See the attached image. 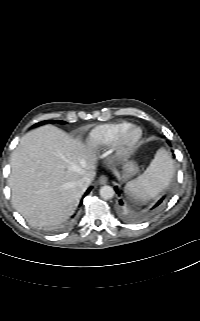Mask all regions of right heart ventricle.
Listing matches in <instances>:
<instances>
[{"label":"right heart ventricle","mask_w":200,"mask_h":321,"mask_svg":"<svg viewBox=\"0 0 200 321\" xmlns=\"http://www.w3.org/2000/svg\"><path fill=\"white\" fill-rule=\"evenodd\" d=\"M132 124L129 122H115L99 125L93 128L87 137L91 148L102 149L117 143L122 133Z\"/></svg>","instance_id":"1"}]
</instances>
